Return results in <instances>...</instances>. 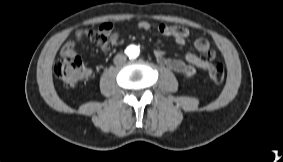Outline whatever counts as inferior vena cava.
<instances>
[{
  "instance_id": "obj_1",
  "label": "inferior vena cava",
  "mask_w": 283,
  "mask_h": 162,
  "mask_svg": "<svg viewBox=\"0 0 283 162\" xmlns=\"http://www.w3.org/2000/svg\"><path fill=\"white\" fill-rule=\"evenodd\" d=\"M125 61H126V56L122 53H119L114 57L115 64H122Z\"/></svg>"
}]
</instances>
